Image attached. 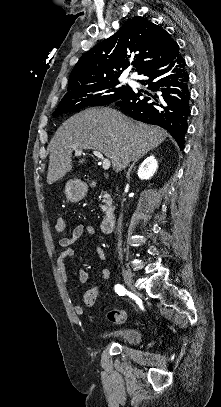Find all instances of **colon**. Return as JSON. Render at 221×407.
<instances>
[{
    "label": "colon",
    "mask_w": 221,
    "mask_h": 407,
    "mask_svg": "<svg viewBox=\"0 0 221 407\" xmlns=\"http://www.w3.org/2000/svg\"><path fill=\"white\" fill-rule=\"evenodd\" d=\"M67 230V222L64 217H59L56 223V231L64 233ZM97 300L95 288H91L86 292L85 304L92 307ZM108 319L115 324H122L125 321V311L121 309H112L108 312Z\"/></svg>",
    "instance_id": "obj_1"
}]
</instances>
